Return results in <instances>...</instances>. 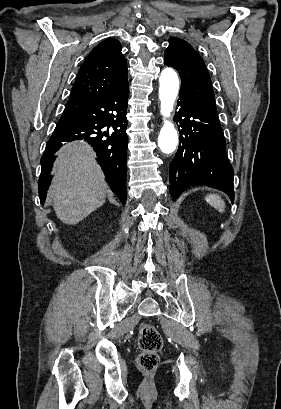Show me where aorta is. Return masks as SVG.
Here are the masks:
<instances>
[{
    "label": "aorta",
    "instance_id": "1",
    "mask_svg": "<svg viewBox=\"0 0 281 409\" xmlns=\"http://www.w3.org/2000/svg\"><path fill=\"white\" fill-rule=\"evenodd\" d=\"M159 85L160 112L164 117V124L158 136V146L163 153L170 154L175 151L178 143L177 131L169 120L179 91L177 73L171 68L164 69L159 78Z\"/></svg>",
    "mask_w": 281,
    "mask_h": 409
}]
</instances>
